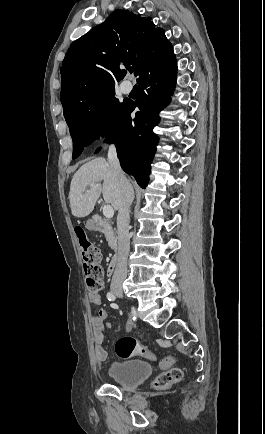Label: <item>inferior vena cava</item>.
I'll return each mask as SVG.
<instances>
[{"label": "inferior vena cava", "instance_id": "1", "mask_svg": "<svg viewBox=\"0 0 265 434\" xmlns=\"http://www.w3.org/2000/svg\"><path fill=\"white\" fill-rule=\"evenodd\" d=\"M108 162L117 172V178L121 186V204L117 218L118 228V256L117 266L113 274L112 284L124 282L127 278V260L130 250L129 222L130 206L134 200V190L132 184H129L125 178L117 158L115 146H110L108 152Z\"/></svg>", "mask_w": 265, "mask_h": 434}]
</instances>
